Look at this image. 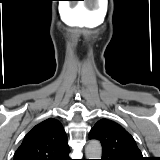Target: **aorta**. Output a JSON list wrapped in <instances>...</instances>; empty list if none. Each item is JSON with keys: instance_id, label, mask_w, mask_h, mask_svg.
<instances>
[{"instance_id": "obj_1", "label": "aorta", "mask_w": 160, "mask_h": 160, "mask_svg": "<svg viewBox=\"0 0 160 160\" xmlns=\"http://www.w3.org/2000/svg\"><path fill=\"white\" fill-rule=\"evenodd\" d=\"M85 154L87 159H101L102 146L100 142L91 140L85 148Z\"/></svg>"}]
</instances>
